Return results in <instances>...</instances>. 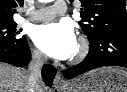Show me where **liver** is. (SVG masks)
<instances>
[{
    "label": "liver",
    "instance_id": "6515ba94",
    "mask_svg": "<svg viewBox=\"0 0 127 92\" xmlns=\"http://www.w3.org/2000/svg\"><path fill=\"white\" fill-rule=\"evenodd\" d=\"M28 78V71L0 62V92H28ZM37 92L49 91L40 83Z\"/></svg>",
    "mask_w": 127,
    "mask_h": 92
}]
</instances>
